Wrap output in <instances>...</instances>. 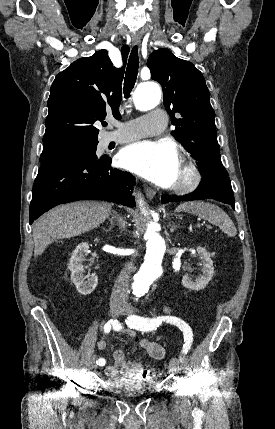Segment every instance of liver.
I'll use <instances>...</instances> for the list:
<instances>
[{"instance_id": "liver-1", "label": "liver", "mask_w": 275, "mask_h": 429, "mask_svg": "<svg viewBox=\"0 0 275 429\" xmlns=\"http://www.w3.org/2000/svg\"><path fill=\"white\" fill-rule=\"evenodd\" d=\"M105 202H75L58 206L34 222V254L41 255L54 240L71 238L97 228L111 213Z\"/></svg>"}]
</instances>
